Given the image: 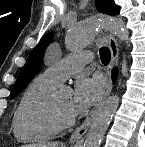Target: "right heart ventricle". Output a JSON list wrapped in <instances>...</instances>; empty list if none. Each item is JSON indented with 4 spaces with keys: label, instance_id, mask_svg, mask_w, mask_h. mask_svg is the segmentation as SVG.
<instances>
[{
    "label": "right heart ventricle",
    "instance_id": "right-heart-ventricle-1",
    "mask_svg": "<svg viewBox=\"0 0 145 147\" xmlns=\"http://www.w3.org/2000/svg\"><path fill=\"white\" fill-rule=\"evenodd\" d=\"M58 83L44 73L36 76L23 92L13 118L14 135L24 142L54 138L62 129L51 109Z\"/></svg>",
    "mask_w": 145,
    "mask_h": 147
}]
</instances>
